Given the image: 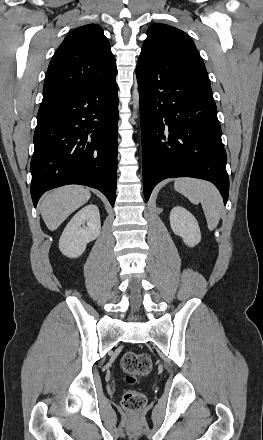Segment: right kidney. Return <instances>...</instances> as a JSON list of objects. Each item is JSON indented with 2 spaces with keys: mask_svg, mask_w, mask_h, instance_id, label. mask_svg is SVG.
<instances>
[{
  "mask_svg": "<svg viewBox=\"0 0 263 440\" xmlns=\"http://www.w3.org/2000/svg\"><path fill=\"white\" fill-rule=\"evenodd\" d=\"M101 230L99 209L90 204L78 211L65 227L60 240V251L69 258H77L86 245L99 237Z\"/></svg>",
  "mask_w": 263,
  "mask_h": 440,
  "instance_id": "obj_1",
  "label": "right kidney"
}]
</instances>
